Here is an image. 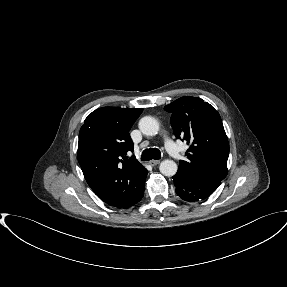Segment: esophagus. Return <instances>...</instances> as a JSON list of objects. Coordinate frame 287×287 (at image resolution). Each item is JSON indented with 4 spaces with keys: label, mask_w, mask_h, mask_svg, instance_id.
<instances>
[{
    "label": "esophagus",
    "mask_w": 287,
    "mask_h": 287,
    "mask_svg": "<svg viewBox=\"0 0 287 287\" xmlns=\"http://www.w3.org/2000/svg\"><path fill=\"white\" fill-rule=\"evenodd\" d=\"M159 163H160V160H150L149 161V164L152 165V166H155V165H157Z\"/></svg>",
    "instance_id": "1"
}]
</instances>
